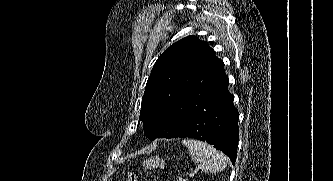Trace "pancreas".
Returning a JSON list of instances; mask_svg holds the SVG:
<instances>
[{
	"mask_svg": "<svg viewBox=\"0 0 333 181\" xmlns=\"http://www.w3.org/2000/svg\"><path fill=\"white\" fill-rule=\"evenodd\" d=\"M176 181H187L186 179H183L181 177H177Z\"/></svg>",
	"mask_w": 333,
	"mask_h": 181,
	"instance_id": "cf45deb5",
	"label": "pancreas"
}]
</instances>
